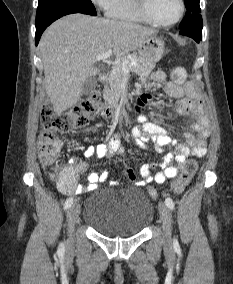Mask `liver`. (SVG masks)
<instances>
[{
    "label": "liver",
    "mask_w": 233,
    "mask_h": 284,
    "mask_svg": "<svg viewBox=\"0 0 233 284\" xmlns=\"http://www.w3.org/2000/svg\"><path fill=\"white\" fill-rule=\"evenodd\" d=\"M156 30L138 24L67 15L51 24L39 43L45 90L57 114L80 99L84 82L97 74L96 56L113 49L122 57L141 47Z\"/></svg>",
    "instance_id": "6515ba94"
}]
</instances>
